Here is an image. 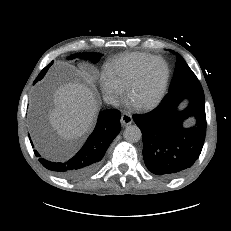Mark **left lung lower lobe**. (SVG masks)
Masks as SVG:
<instances>
[{"label":"left lung lower lobe","instance_id":"0a47b994","mask_svg":"<svg viewBox=\"0 0 231 231\" xmlns=\"http://www.w3.org/2000/svg\"><path fill=\"white\" fill-rule=\"evenodd\" d=\"M188 100V106H178ZM188 117L195 118V125L184 128ZM143 136V158L152 173L166 178L176 177L199 158L205 135L206 114L202 87H194L169 94L160 105L144 115H133Z\"/></svg>","mask_w":231,"mask_h":231}]
</instances>
